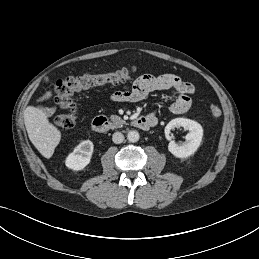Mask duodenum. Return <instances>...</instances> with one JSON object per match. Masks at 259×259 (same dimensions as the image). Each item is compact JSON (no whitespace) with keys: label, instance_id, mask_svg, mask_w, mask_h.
<instances>
[{"label":"duodenum","instance_id":"1","mask_svg":"<svg viewBox=\"0 0 259 259\" xmlns=\"http://www.w3.org/2000/svg\"><path fill=\"white\" fill-rule=\"evenodd\" d=\"M156 124V118L141 116L134 121V125L140 129H147ZM92 128L96 132L104 133L110 129V122L104 116L95 117L92 121Z\"/></svg>","mask_w":259,"mask_h":259}]
</instances>
